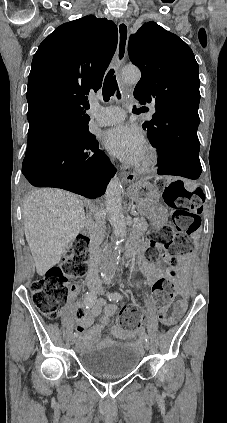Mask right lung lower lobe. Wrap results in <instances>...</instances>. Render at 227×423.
Returning a JSON list of instances; mask_svg holds the SVG:
<instances>
[{"label": "right lung lower lobe", "mask_w": 227, "mask_h": 423, "mask_svg": "<svg viewBox=\"0 0 227 423\" xmlns=\"http://www.w3.org/2000/svg\"><path fill=\"white\" fill-rule=\"evenodd\" d=\"M89 135L81 146L62 142L27 155L22 173L36 187L61 188L91 199L102 196L116 170Z\"/></svg>", "instance_id": "1"}]
</instances>
